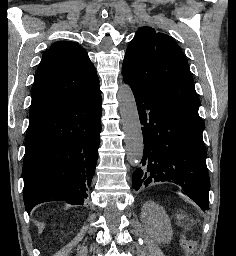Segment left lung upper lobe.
Returning <instances> with one entry per match:
<instances>
[{"mask_svg": "<svg viewBox=\"0 0 236 256\" xmlns=\"http://www.w3.org/2000/svg\"><path fill=\"white\" fill-rule=\"evenodd\" d=\"M122 75L135 86L198 111L200 100L186 57L164 33L140 28L125 53Z\"/></svg>", "mask_w": 236, "mask_h": 256, "instance_id": "left-lung-upper-lobe-1", "label": "left lung upper lobe"}]
</instances>
